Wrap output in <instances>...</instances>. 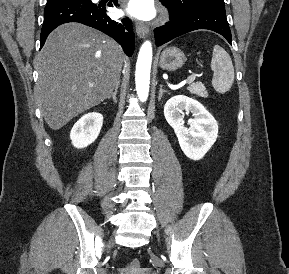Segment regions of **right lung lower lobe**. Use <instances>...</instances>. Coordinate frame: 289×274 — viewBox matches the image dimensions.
I'll return each mask as SVG.
<instances>
[{"instance_id": "right-lung-lower-lobe-1", "label": "right lung lower lobe", "mask_w": 289, "mask_h": 274, "mask_svg": "<svg viewBox=\"0 0 289 274\" xmlns=\"http://www.w3.org/2000/svg\"><path fill=\"white\" fill-rule=\"evenodd\" d=\"M118 0H110L108 6H119ZM79 22L91 26L114 38L131 56L134 50V32L130 21L112 20L107 14L105 4H96L92 0H64L47 4L44 10V23L41 29V47L47 36L57 26Z\"/></svg>"}]
</instances>
